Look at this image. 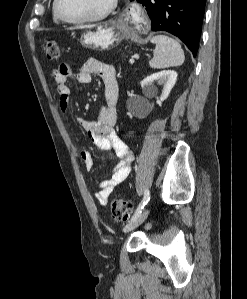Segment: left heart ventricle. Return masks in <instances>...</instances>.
Returning a JSON list of instances; mask_svg holds the SVG:
<instances>
[{
    "label": "left heart ventricle",
    "mask_w": 247,
    "mask_h": 299,
    "mask_svg": "<svg viewBox=\"0 0 247 299\" xmlns=\"http://www.w3.org/2000/svg\"><path fill=\"white\" fill-rule=\"evenodd\" d=\"M110 0H60L61 13L69 19L94 16L103 11Z\"/></svg>",
    "instance_id": "1"
}]
</instances>
